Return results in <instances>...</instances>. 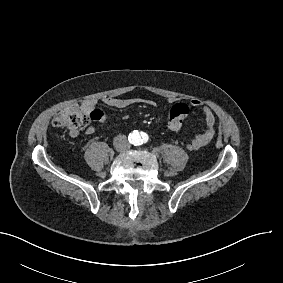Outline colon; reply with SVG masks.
<instances>
[{
  "label": "colon",
  "mask_w": 283,
  "mask_h": 283,
  "mask_svg": "<svg viewBox=\"0 0 283 283\" xmlns=\"http://www.w3.org/2000/svg\"><path fill=\"white\" fill-rule=\"evenodd\" d=\"M79 111L77 104H72L61 112L54 114L53 125L57 128L64 129L70 136L77 135L89 126L86 121V114ZM189 114V109L186 105L176 102L172 105L168 118V127L176 131L180 128L182 120Z\"/></svg>",
  "instance_id": "1"
}]
</instances>
